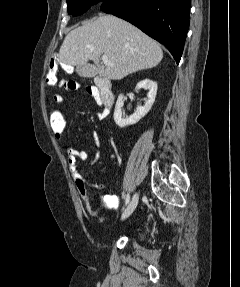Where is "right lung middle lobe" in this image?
<instances>
[{
  "mask_svg": "<svg viewBox=\"0 0 240 287\" xmlns=\"http://www.w3.org/2000/svg\"><path fill=\"white\" fill-rule=\"evenodd\" d=\"M105 0H67L68 13L73 16L81 15L92 5L102 4Z\"/></svg>",
  "mask_w": 240,
  "mask_h": 287,
  "instance_id": "dd1d6c3e",
  "label": "right lung middle lobe"
}]
</instances>
